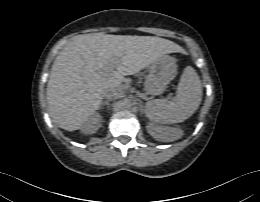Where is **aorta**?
<instances>
[{"instance_id": "aorta-1", "label": "aorta", "mask_w": 260, "mask_h": 202, "mask_svg": "<svg viewBox=\"0 0 260 202\" xmlns=\"http://www.w3.org/2000/svg\"><path fill=\"white\" fill-rule=\"evenodd\" d=\"M133 106V103L131 100L129 99H125L123 102H122V108L124 110H130Z\"/></svg>"}]
</instances>
